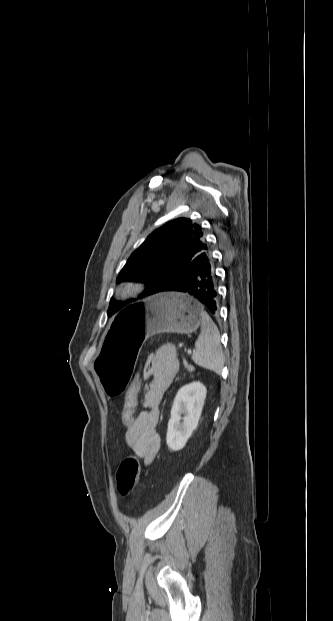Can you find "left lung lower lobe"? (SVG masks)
<instances>
[{
    "label": "left lung lower lobe",
    "mask_w": 333,
    "mask_h": 621,
    "mask_svg": "<svg viewBox=\"0 0 333 621\" xmlns=\"http://www.w3.org/2000/svg\"><path fill=\"white\" fill-rule=\"evenodd\" d=\"M171 291L188 293L204 304L212 314L217 313L216 281L209 248L197 255L188 268L171 279L160 292Z\"/></svg>",
    "instance_id": "0a47b994"
}]
</instances>
